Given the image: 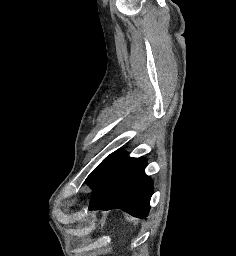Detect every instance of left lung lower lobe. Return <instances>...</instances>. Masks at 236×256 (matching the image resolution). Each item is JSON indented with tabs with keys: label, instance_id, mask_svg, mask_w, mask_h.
<instances>
[{
	"label": "left lung lower lobe",
	"instance_id": "left-lung-lower-lobe-1",
	"mask_svg": "<svg viewBox=\"0 0 236 256\" xmlns=\"http://www.w3.org/2000/svg\"><path fill=\"white\" fill-rule=\"evenodd\" d=\"M144 158H129L123 152L109 176L93 192L89 210L122 209L145 218L150 209L153 183L144 173Z\"/></svg>",
	"mask_w": 236,
	"mask_h": 256
}]
</instances>
